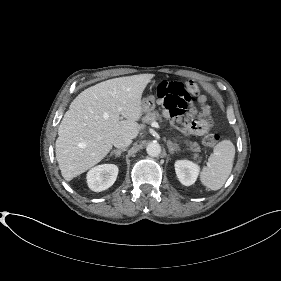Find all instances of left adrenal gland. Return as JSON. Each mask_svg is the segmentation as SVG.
Instances as JSON below:
<instances>
[{
    "label": "left adrenal gland",
    "instance_id": "left-adrenal-gland-1",
    "mask_svg": "<svg viewBox=\"0 0 281 281\" xmlns=\"http://www.w3.org/2000/svg\"><path fill=\"white\" fill-rule=\"evenodd\" d=\"M167 146L169 148V153L174 154L175 151H180V148L177 144H174L170 140L167 141Z\"/></svg>",
    "mask_w": 281,
    "mask_h": 281
}]
</instances>
